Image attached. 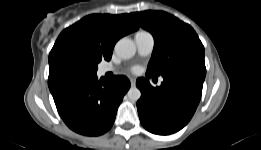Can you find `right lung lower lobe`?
I'll return each mask as SVG.
<instances>
[{"instance_id":"1","label":"right lung lower lobe","mask_w":261,"mask_h":150,"mask_svg":"<svg viewBox=\"0 0 261 150\" xmlns=\"http://www.w3.org/2000/svg\"><path fill=\"white\" fill-rule=\"evenodd\" d=\"M130 88L125 76L111 80L97 77L69 83L52 93L57 110L73 131L97 136L108 131L118 106Z\"/></svg>"}]
</instances>
